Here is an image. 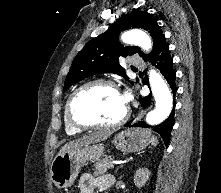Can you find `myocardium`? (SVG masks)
I'll use <instances>...</instances> for the list:
<instances>
[{
	"instance_id": "obj_1",
	"label": "myocardium",
	"mask_w": 221,
	"mask_h": 193,
	"mask_svg": "<svg viewBox=\"0 0 221 193\" xmlns=\"http://www.w3.org/2000/svg\"><path fill=\"white\" fill-rule=\"evenodd\" d=\"M92 86H107L112 89H115L119 92V87L118 85L112 81V80H107V79H94L87 81L80 85L69 97L67 104H66V113L69 122L76 128L81 129V130H89V129H111V128H116L121 125H123L127 119L129 118L130 115V109L126 105V110L124 114L116 121L113 122H107V123H102V122H97V123H82L78 121L74 114H73V105L79 94L84 91L85 89L92 87Z\"/></svg>"
}]
</instances>
